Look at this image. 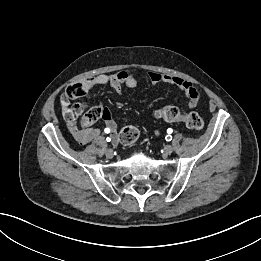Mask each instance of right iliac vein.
Masks as SVG:
<instances>
[{"instance_id": "right-iliac-vein-1", "label": "right iliac vein", "mask_w": 261, "mask_h": 261, "mask_svg": "<svg viewBox=\"0 0 261 261\" xmlns=\"http://www.w3.org/2000/svg\"><path fill=\"white\" fill-rule=\"evenodd\" d=\"M105 154H106V157H107V158H112L113 155H114L112 149H108V150H106Z\"/></svg>"}]
</instances>
